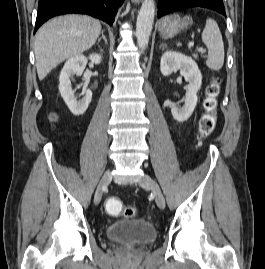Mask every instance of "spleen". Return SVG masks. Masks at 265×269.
<instances>
[{
  "instance_id": "spleen-1",
  "label": "spleen",
  "mask_w": 265,
  "mask_h": 269,
  "mask_svg": "<svg viewBox=\"0 0 265 269\" xmlns=\"http://www.w3.org/2000/svg\"><path fill=\"white\" fill-rule=\"evenodd\" d=\"M202 41L208 48L207 67L219 71L224 64V43L218 24L214 19L206 20Z\"/></svg>"
}]
</instances>
